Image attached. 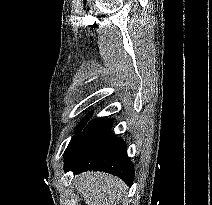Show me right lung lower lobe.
<instances>
[{"label":"right lung lower lobe","instance_id":"1","mask_svg":"<svg viewBox=\"0 0 212 205\" xmlns=\"http://www.w3.org/2000/svg\"><path fill=\"white\" fill-rule=\"evenodd\" d=\"M111 119H94L85 126L65 152V171L75 174L88 170L104 171L132 185L134 167L126 145L111 132Z\"/></svg>","mask_w":212,"mask_h":205}]
</instances>
